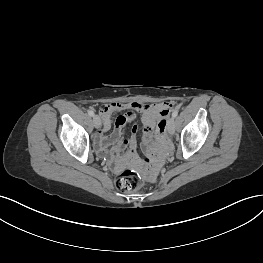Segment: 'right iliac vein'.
Instances as JSON below:
<instances>
[{
	"mask_svg": "<svg viewBox=\"0 0 263 263\" xmlns=\"http://www.w3.org/2000/svg\"><path fill=\"white\" fill-rule=\"evenodd\" d=\"M93 123H94L95 128L101 127V120H100V117L98 115L93 116Z\"/></svg>",
	"mask_w": 263,
	"mask_h": 263,
	"instance_id": "obj_1",
	"label": "right iliac vein"
}]
</instances>
